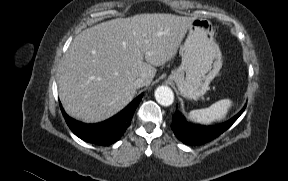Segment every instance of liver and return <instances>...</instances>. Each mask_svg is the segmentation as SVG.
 Masks as SVG:
<instances>
[{
	"mask_svg": "<svg viewBox=\"0 0 288 181\" xmlns=\"http://www.w3.org/2000/svg\"><path fill=\"white\" fill-rule=\"evenodd\" d=\"M192 21L173 14H138L83 30L60 67L58 91L65 111L87 123L121 111L136 93L134 81L143 78L149 86L155 67L174 58Z\"/></svg>",
	"mask_w": 288,
	"mask_h": 181,
	"instance_id": "obj_1",
	"label": "liver"
}]
</instances>
